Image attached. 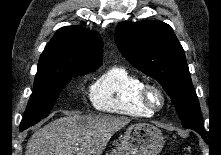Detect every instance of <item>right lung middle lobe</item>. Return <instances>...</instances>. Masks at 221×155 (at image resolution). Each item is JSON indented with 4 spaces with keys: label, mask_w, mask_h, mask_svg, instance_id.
<instances>
[{
    "label": "right lung middle lobe",
    "mask_w": 221,
    "mask_h": 155,
    "mask_svg": "<svg viewBox=\"0 0 221 155\" xmlns=\"http://www.w3.org/2000/svg\"><path fill=\"white\" fill-rule=\"evenodd\" d=\"M96 66H78L65 69H38L34 81V91L29 99L24 118L20 124L23 131L46 118L59 94L75 75H84L97 69Z\"/></svg>",
    "instance_id": "1"
}]
</instances>
